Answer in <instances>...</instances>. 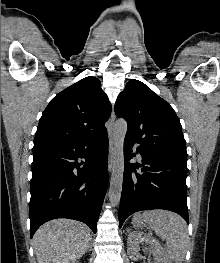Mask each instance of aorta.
Instances as JSON below:
<instances>
[{"label":"aorta","instance_id":"1","mask_svg":"<svg viewBox=\"0 0 220 263\" xmlns=\"http://www.w3.org/2000/svg\"><path fill=\"white\" fill-rule=\"evenodd\" d=\"M126 132V121L123 119L117 120L113 125L114 163L109 188V200L112 206H117L121 198L124 173V139Z\"/></svg>","mask_w":220,"mask_h":263}]
</instances>
